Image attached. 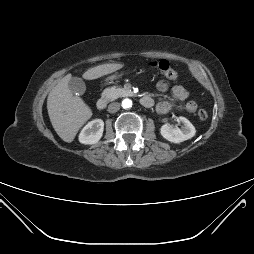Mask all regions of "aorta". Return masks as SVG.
<instances>
[{"instance_id":"obj_1","label":"aorta","mask_w":254,"mask_h":254,"mask_svg":"<svg viewBox=\"0 0 254 254\" xmlns=\"http://www.w3.org/2000/svg\"><path fill=\"white\" fill-rule=\"evenodd\" d=\"M132 106V101L130 100V99H124L123 101H122V107L124 108V109H128V108H130Z\"/></svg>"}]
</instances>
